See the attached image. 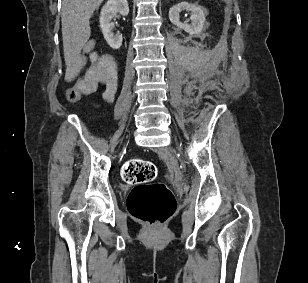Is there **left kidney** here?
<instances>
[{
  "label": "left kidney",
  "instance_id": "obj_1",
  "mask_svg": "<svg viewBox=\"0 0 308 283\" xmlns=\"http://www.w3.org/2000/svg\"><path fill=\"white\" fill-rule=\"evenodd\" d=\"M182 10L190 11L191 12V24L182 23L180 21V12ZM169 19L172 24L177 26L178 28L183 29L190 35H196L201 33L205 27V13L204 9L196 4H191L188 2H181L177 5H174L169 10Z\"/></svg>",
  "mask_w": 308,
  "mask_h": 283
}]
</instances>
